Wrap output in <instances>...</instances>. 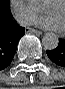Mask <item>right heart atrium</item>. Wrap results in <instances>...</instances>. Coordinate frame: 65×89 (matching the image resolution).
Here are the masks:
<instances>
[{
	"label": "right heart atrium",
	"instance_id": "right-heart-atrium-1",
	"mask_svg": "<svg viewBox=\"0 0 65 89\" xmlns=\"http://www.w3.org/2000/svg\"><path fill=\"white\" fill-rule=\"evenodd\" d=\"M11 6L15 15L24 24L33 22L42 11L36 0H12Z\"/></svg>",
	"mask_w": 65,
	"mask_h": 89
}]
</instances>
